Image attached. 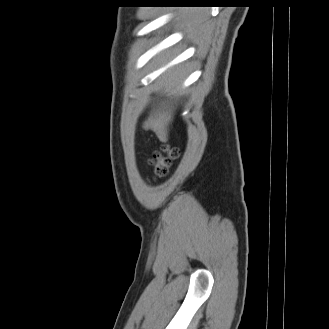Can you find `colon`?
I'll return each instance as SVG.
<instances>
[{
  "mask_svg": "<svg viewBox=\"0 0 329 329\" xmlns=\"http://www.w3.org/2000/svg\"><path fill=\"white\" fill-rule=\"evenodd\" d=\"M179 156V152L175 148H171L168 145L163 146L162 150L155 152L150 160L154 175L157 178L164 177L168 174L170 165L173 160Z\"/></svg>",
  "mask_w": 329,
  "mask_h": 329,
  "instance_id": "1",
  "label": "colon"
}]
</instances>
